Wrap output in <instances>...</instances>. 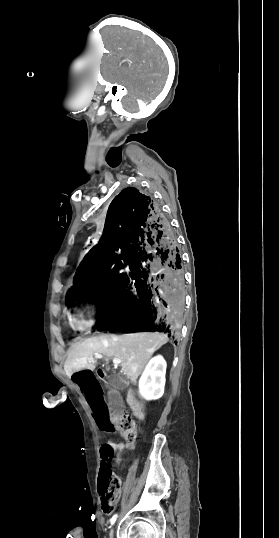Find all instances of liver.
Segmentation results:
<instances>
[{
    "label": "liver",
    "instance_id": "liver-1",
    "mask_svg": "<svg viewBox=\"0 0 279 538\" xmlns=\"http://www.w3.org/2000/svg\"><path fill=\"white\" fill-rule=\"evenodd\" d=\"M168 342L165 334L159 332H140L124 336H99L87 338L81 344L73 346L65 362L67 374L80 370H95V354L121 360V370L132 384H136L145 364L152 354Z\"/></svg>",
    "mask_w": 279,
    "mask_h": 538
}]
</instances>
